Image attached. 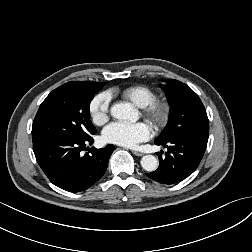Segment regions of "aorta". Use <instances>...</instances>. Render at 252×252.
I'll return each mask as SVG.
<instances>
[{"label": "aorta", "instance_id": "1", "mask_svg": "<svg viewBox=\"0 0 252 252\" xmlns=\"http://www.w3.org/2000/svg\"><path fill=\"white\" fill-rule=\"evenodd\" d=\"M112 117L126 121H136L138 114L130 103H116L111 107ZM141 166L148 172L155 171L158 167V160L153 155H145L141 158Z\"/></svg>", "mask_w": 252, "mask_h": 252}]
</instances>
